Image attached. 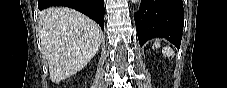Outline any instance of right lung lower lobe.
I'll list each match as a JSON object with an SVG mask.
<instances>
[{"label":"right lung lower lobe","instance_id":"98d812e1","mask_svg":"<svg viewBox=\"0 0 227 88\" xmlns=\"http://www.w3.org/2000/svg\"><path fill=\"white\" fill-rule=\"evenodd\" d=\"M66 6L80 11L96 21L104 31V0H38V8Z\"/></svg>","mask_w":227,"mask_h":88}]
</instances>
